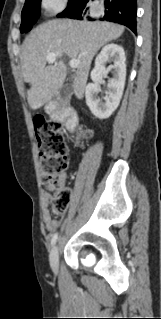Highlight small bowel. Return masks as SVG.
<instances>
[{
    "instance_id": "1",
    "label": "small bowel",
    "mask_w": 161,
    "mask_h": 319,
    "mask_svg": "<svg viewBox=\"0 0 161 319\" xmlns=\"http://www.w3.org/2000/svg\"><path fill=\"white\" fill-rule=\"evenodd\" d=\"M67 176L66 174H63L59 177V183L61 185H64L66 182ZM52 195L48 192H45L43 194L44 199V208H43V220L45 222L46 229L51 232L54 231L60 224L59 219H54L51 217L49 209H48V203L51 200Z\"/></svg>"
}]
</instances>
